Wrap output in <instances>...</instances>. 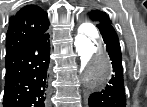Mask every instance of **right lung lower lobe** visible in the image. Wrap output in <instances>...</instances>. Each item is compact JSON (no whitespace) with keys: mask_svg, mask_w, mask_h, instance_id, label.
<instances>
[{"mask_svg":"<svg viewBox=\"0 0 147 107\" xmlns=\"http://www.w3.org/2000/svg\"><path fill=\"white\" fill-rule=\"evenodd\" d=\"M49 34L6 55L3 107H45L50 63Z\"/></svg>","mask_w":147,"mask_h":107,"instance_id":"1","label":"right lung lower lobe"}]
</instances>
